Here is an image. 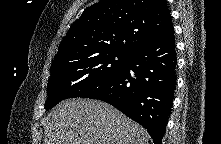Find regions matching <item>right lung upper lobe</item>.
Segmentation results:
<instances>
[{"mask_svg":"<svg viewBox=\"0 0 221 144\" xmlns=\"http://www.w3.org/2000/svg\"><path fill=\"white\" fill-rule=\"evenodd\" d=\"M170 28L165 0H102L71 25L52 69L105 52L129 54Z\"/></svg>","mask_w":221,"mask_h":144,"instance_id":"right-lung-upper-lobe-1","label":"right lung upper lobe"}]
</instances>
